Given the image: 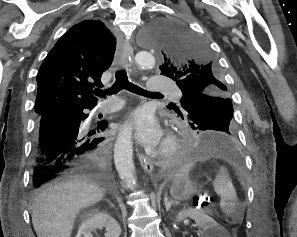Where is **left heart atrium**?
Listing matches in <instances>:
<instances>
[{
    "instance_id": "1",
    "label": "left heart atrium",
    "mask_w": 297,
    "mask_h": 237,
    "mask_svg": "<svg viewBox=\"0 0 297 237\" xmlns=\"http://www.w3.org/2000/svg\"><path fill=\"white\" fill-rule=\"evenodd\" d=\"M130 126L139 144L154 147L160 142L161 127L151 111L146 109L134 111L130 118Z\"/></svg>"
}]
</instances>
